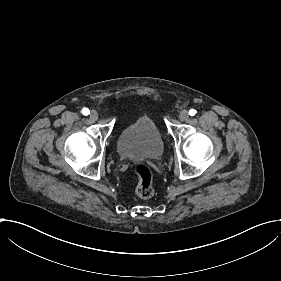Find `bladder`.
Masks as SVG:
<instances>
[{
	"label": "bladder",
	"mask_w": 281,
	"mask_h": 281,
	"mask_svg": "<svg viewBox=\"0 0 281 281\" xmlns=\"http://www.w3.org/2000/svg\"><path fill=\"white\" fill-rule=\"evenodd\" d=\"M164 149L161 134L152 119L141 117L119 134L117 150L121 157L135 160H156Z\"/></svg>",
	"instance_id": "31cf9c89"
}]
</instances>
